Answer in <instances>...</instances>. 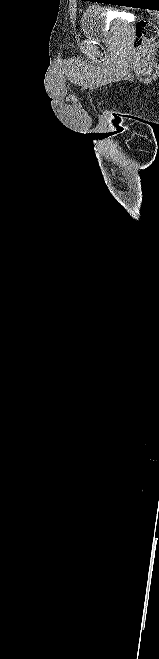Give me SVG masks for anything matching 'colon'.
I'll use <instances>...</instances> for the list:
<instances>
[{"mask_svg":"<svg viewBox=\"0 0 159 659\" xmlns=\"http://www.w3.org/2000/svg\"><path fill=\"white\" fill-rule=\"evenodd\" d=\"M159 35L157 25L152 20H140L136 24L135 34L133 38V48L135 50L143 49L148 42L154 40Z\"/></svg>","mask_w":159,"mask_h":659,"instance_id":"obj_1","label":"colon"}]
</instances>
